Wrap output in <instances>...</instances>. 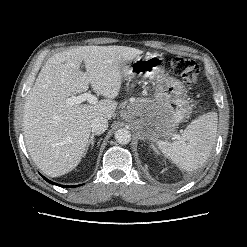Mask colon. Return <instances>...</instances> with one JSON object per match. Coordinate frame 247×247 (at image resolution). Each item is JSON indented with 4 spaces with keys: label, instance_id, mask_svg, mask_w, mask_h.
<instances>
[{
    "label": "colon",
    "instance_id": "obj_1",
    "mask_svg": "<svg viewBox=\"0 0 247 247\" xmlns=\"http://www.w3.org/2000/svg\"><path fill=\"white\" fill-rule=\"evenodd\" d=\"M173 72L182 77L188 85H194L199 78V66L191 59L185 57H175L171 61Z\"/></svg>",
    "mask_w": 247,
    "mask_h": 247
}]
</instances>
